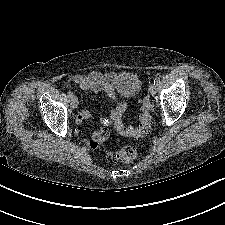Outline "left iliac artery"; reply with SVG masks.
I'll return each instance as SVG.
<instances>
[{
	"mask_svg": "<svg viewBox=\"0 0 225 225\" xmlns=\"http://www.w3.org/2000/svg\"><path fill=\"white\" fill-rule=\"evenodd\" d=\"M154 84L155 85H159L160 84V78L159 77L154 79Z\"/></svg>",
	"mask_w": 225,
	"mask_h": 225,
	"instance_id": "44dca946",
	"label": "left iliac artery"
}]
</instances>
